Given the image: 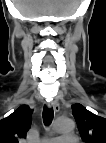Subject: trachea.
Segmentation results:
<instances>
[{
	"label": "trachea",
	"mask_w": 106,
	"mask_h": 143,
	"mask_svg": "<svg viewBox=\"0 0 106 143\" xmlns=\"http://www.w3.org/2000/svg\"><path fill=\"white\" fill-rule=\"evenodd\" d=\"M42 116H43L44 124L46 126L50 125L54 117L53 108H48L44 106Z\"/></svg>",
	"instance_id": "trachea-1"
}]
</instances>
